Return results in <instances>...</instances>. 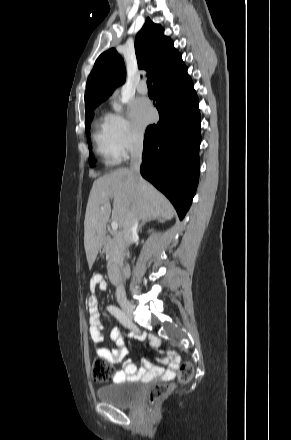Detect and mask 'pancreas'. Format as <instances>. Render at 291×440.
<instances>
[{
  "label": "pancreas",
  "instance_id": "obj_1",
  "mask_svg": "<svg viewBox=\"0 0 291 440\" xmlns=\"http://www.w3.org/2000/svg\"><path fill=\"white\" fill-rule=\"evenodd\" d=\"M123 249L121 236L118 234L107 235L104 238V251L108 255V266L120 261Z\"/></svg>",
  "mask_w": 291,
  "mask_h": 440
}]
</instances>
